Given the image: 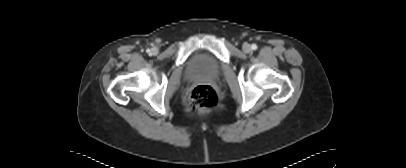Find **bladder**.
<instances>
[{
	"label": "bladder",
	"instance_id": "bladder-1",
	"mask_svg": "<svg viewBox=\"0 0 406 168\" xmlns=\"http://www.w3.org/2000/svg\"><path fill=\"white\" fill-rule=\"evenodd\" d=\"M221 72L219 61L212 55L204 52L192 56L186 66V76L190 79L214 78Z\"/></svg>",
	"mask_w": 406,
	"mask_h": 168
}]
</instances>
